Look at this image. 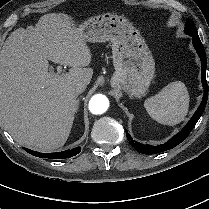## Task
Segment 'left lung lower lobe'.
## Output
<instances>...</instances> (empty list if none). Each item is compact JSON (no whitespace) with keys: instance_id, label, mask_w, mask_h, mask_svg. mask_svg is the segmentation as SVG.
<instances>
[{"instance_id":"0a47b994","label":"left lung lower lobe","mask_w":209,"mask_h":209,"mask_svg":"<svg viewBox=\"0 0 209 209\" xmlns=\"http://www.w3.org/2000/svg\"><path fill=\"white\" fill-rule=\"evenodd\" d=\"M192 43H193V46L196 49L197 54L201 60V68H202L201 79H202V86L204 89V95H203L202 102H201L199 108L197 109V111L195 112V114L190 119V121L182 129V131L177 133L173 138H171L169 141H167L166 143H164L162 145L151 146V145H145V144H141L139 142H136L133 140V138L130 136V134L126 130V136L130 142V145L142 154H156L159 152H163V151H167L169 149H172L175 146H177L178 144H180L190 134V132L192 131V129L196 125L197 121L199 120V118L202 116V114L204 112V109L207 104V98H208V85H207V81H206V67H207L206 54H205L204 47H203L199 37H192Z\"/></svg>"}]
</instances>
